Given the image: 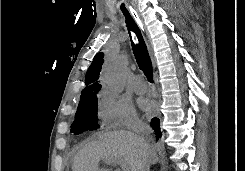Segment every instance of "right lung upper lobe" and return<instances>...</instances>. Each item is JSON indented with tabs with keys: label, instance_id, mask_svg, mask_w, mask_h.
<instances>
[{
	"label": "right lung upper lobe",
	"instance_id": "1",
	"mask_svg": "<svg viewBox=\"0 0 245 171\" xmlns=\"http://www.w3.org/2000/svg\"><path fill=\"white\" fill-rule=\"evenodd\" d=\"M103 64V53H98L90 67L87 70L85 77L86 87L81 92V99L96 95V93L101 89V84L98 81V76L101 71Z\"/></svg>",
	"mask_w": 245,
	"mask_h": 171
}]
</instances>
